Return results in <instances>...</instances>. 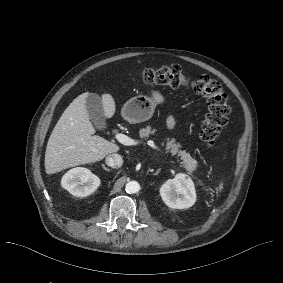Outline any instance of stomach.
Here are the masks:
<instances>
[{"label": "stomach", "instance_id": "0dacf381", "mask_svg": "<svg viewBox=\"0 0 283 283\" xmlns=\"http://www.w3.org/2000/svg\"><path fill=\"white\" fill-rule=\"evenodd\" d=\"M163 96L158 91L152 92V97L139 95L128 100L121 111L122 117L129 123H139L149 120L155 106L163 102Z\"/></svg>", "mask_w": 283, "mask_h": 283}]
</instances>
